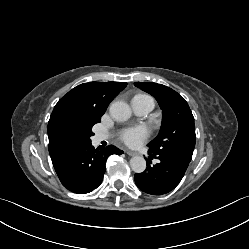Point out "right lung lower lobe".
I'll list each match as a JSON object with an SVG mask.
<instances>
[{"instance_id": "1", "label": "right lung lower lobe", "mask_w": 249, "mask_h": 249, "mask_svg": "<svg viewBox=\"0 0 249 249\" xmlns=\"http://www.w3.org/2000/svg\"><path fill=\"white\" fill-rule=\"evenodd\" d=\"M122 153L112 145L98 151L90 143L76 151L55 171L63 186L71 192L89 193L101 184L108 156Z\"/></svg>"}]
</instances>
